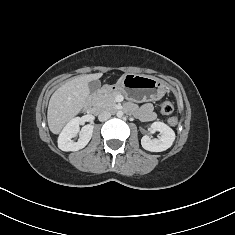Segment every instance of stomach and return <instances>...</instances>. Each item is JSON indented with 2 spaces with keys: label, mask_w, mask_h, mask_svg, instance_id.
<instances>
[{
  "label": "stomach",
  "mask_w": 235,
  "mask_h": 235,
  "mask_svg": "<svg viewBox=\"0 0 235 235\" xmlns=\"http://www.w3.org/2000/svg\"><path fill=\"white\" fill-rule=\"evenodd\" d=\"M109 89L124 94L130 101L140 103L161 99L166 92V84L153 76L129 73Z\"/></svg>",
  "instance_id": "obj_1"
}]
</instances>
